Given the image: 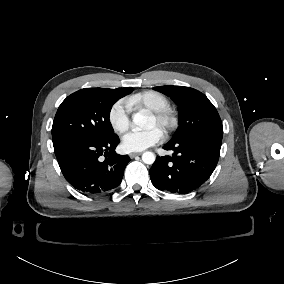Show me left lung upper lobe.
Instances as JSON below:
<instances>
[{
  "label": "left lung upper lobe",
  "mask_w": 284,
  "mask_h": 284,
  "mask_svg": "<svg viewBox=\"0 0 284 284\" xmlns=\"http://www.w3.org/2000/svg\"><path fill=\"white\" fill-rule=\"evenodd\" d=\"M154 90L171 97L178 105L180 125L170 141L178 142L195 136L222 140L220 116L203 93L184 86H159L154 87Z\"/></svg>",
  "instance_id": "5c2ea615"
}]
</instances>
